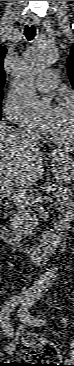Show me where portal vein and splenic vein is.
<instances>
[{
    "label": "portal vein and splenic vein",
    "mask_w": 74,
    "mask_h": 366,
    "mask_svg": "<svg viewBox=\"0 0 74 366\" xmlns=\"http://www.w3.org/2000/svg\"><path fill=\"white\" fill-rule=\"evenodd\" d=\"M2 191H4V193L7 197H9L10 199L15 200V201H20L21 199L26 198L25 192H17L8 187L5 188L4 186H2ZM43 200L52 202L53 198L49 197V196H41V197L33 199L32 202H39V201H43Z\"/></svg>",
    "instance_id": "obj_1"
}]
</instances>
